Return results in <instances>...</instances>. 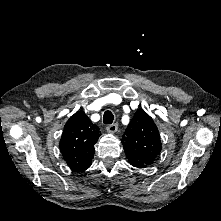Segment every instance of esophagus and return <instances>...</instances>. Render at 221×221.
<instances>
[{
    "label": "esophagus",
    "mask_w": 221,
    "mask_h": 221,
    "mask_svg": "<svg viewBox=\"0 0 221 221\" xmlns=\"http://www.w3.org/2000/svg\"><path fill=\"white\" fill-rule=\"evenodd\" d=\"M117 130H118V125L117 124H111V125H108L106 127V131L108 133H115V132H117Z\"/></svg>",
    "instance_id": "esophagus-1"
}]
</instances>
